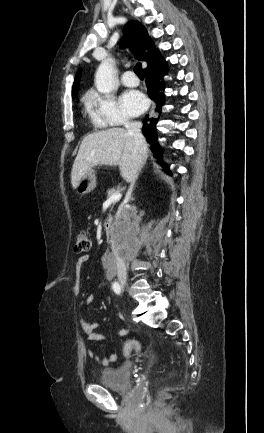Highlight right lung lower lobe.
Returning <instances> with one entry per match:
<instances>
[{"label": "right lung lower lobe", "instance_id": "1", "mask_svg": "<svg viewBox=\"0 0 264 433\" xmlns=\"http://www.w3.org/2000/svg\"><path fill=\"white\" fill-rule=\"evenodd\" d=\"M167 74V63L164 61L160 62L155 66L148 67L145 70L146 84L148 88L149 96L156 101V111L161 113V108L164 104V93L165 83L163 77ZM159 120L158 118H148V115L144 119L143 124V134L148 138L149 143H151L152 151L155 156L160 159L162 158L161 149L157 142V130L156 124ZM164 165V163L161 161Z\"/></svg>", "mask_w": 264, "mask_h": 433}]
</instances>
